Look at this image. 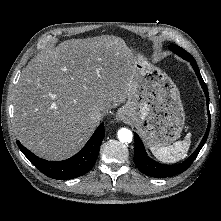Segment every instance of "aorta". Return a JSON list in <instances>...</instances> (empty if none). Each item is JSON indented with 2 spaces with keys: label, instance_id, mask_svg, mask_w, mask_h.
Returning <instances> with one entry per match:
<instances>
[{
  "label": "aorta",
  "instance_id": "aorta-1",
  "mask_svg": "<svg viewBox=\"0 0 221 221\" xmlns=\"http://www.w3.org/2000/svg\"><path fill=\"white\" fill-rule=\"evenodd\" d=\"M117 135H118V139L122 143H130L133 138L132 131L127 128H121L120 130H118Z\"/></svg>",
  "mask_w": 221,
  "mask_h": 221
}]
</instances>
